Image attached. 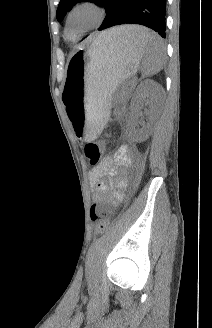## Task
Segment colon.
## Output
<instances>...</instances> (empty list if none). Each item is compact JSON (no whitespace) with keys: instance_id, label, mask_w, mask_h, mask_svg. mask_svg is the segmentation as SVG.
<instances>
[{"instance_id":"colon-1","label":"colon","mask_w":212,"mask_h":328,"mask_svg":"<svg viewBox=\"0 0 212 328\" xmlns=\"http://www.w3.org/2000/svg\"><path fill=\"white\" fill-rule=\"evenodd\" d=\"M103 143L100 141L89 142L84 146V154L91 165H96L101 159ZM90 217L97 222L98 233H103L109 224L107 206L102 203H95L90 210Z\"/></svg>"}]
</instances>
